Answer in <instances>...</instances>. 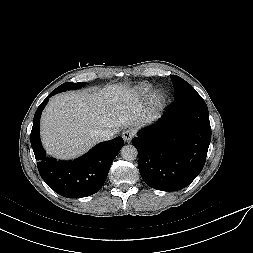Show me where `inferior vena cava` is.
Returning <instances> with one entry per match:
<instances>
[{
    "mask_svg": "<svg viewBox=\"0 0 253 253\" xmlns=\"http://www.w3.org/2000/svg\"><path fill=\"white\" fill-rule=\"evenodd\" d=\"M117 129L113 128H106V129H101V130H95L94 135L97 136L100 141H106L110 140L113 138L115 133L117 132Z\"/></svg>",
    "mask_w": 253,
    "mask_h": 253,
    "instance_id": "obj_1",
    "label": "inferior vena cava"
}]
</instances>
